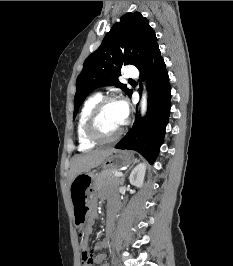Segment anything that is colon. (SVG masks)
<instances>
[{"label":"colon","mask_w":233,"mask_h":266,"mask_svg":"<svg viewBox=\"0 0 233 266\" xmlns=\"http://www.w3.org/2000/svg\"><path fill=\"white\" fill-rule=\"evenodd\" d=\"M82 263L88 265L91 262L92 254L90 252H83L81 254Z\"/></svg>","instance_id":"obj_1"}]
</instances>
